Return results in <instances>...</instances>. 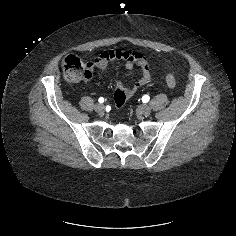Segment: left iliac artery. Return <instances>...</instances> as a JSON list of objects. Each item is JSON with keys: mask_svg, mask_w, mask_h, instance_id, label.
Instances as JSON below:
<instances>
[{"mask_svg": "<svg viewBox=\"0 0 236 236\" xmlns=\"http://www.w3.org/2000/svg\"><path fill=\"white\" fill-rule=\"evenodd\" d=\"M149 99H150V97H149L148 95H144V96L142 97V100H143L144 102H148Z\"/></svg>", "mask_w": 236, "mask_h": 236, "instance_id": "44dca946", "label": "left iliac artery"}]
</instances>
